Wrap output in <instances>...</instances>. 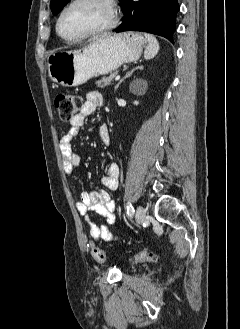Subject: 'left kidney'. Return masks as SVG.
Segmentation results:
<instances>
[{"mask_svg": "<svg viewBox=\"0 0 240 329\" xmlns=\"http://www.w3.org/2000/svg\"><path fill=\"white\" fill-rule=\"evenodd\" d=\"M147 88V83L144 80H136L130 85V90L134 93H141Z\"/></svg>", "mask_w": 240, "mask_h": 329, "instance_id": "obj_1", "label": "left kidney"}]
</instances>
